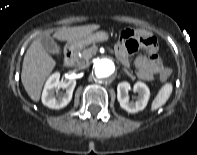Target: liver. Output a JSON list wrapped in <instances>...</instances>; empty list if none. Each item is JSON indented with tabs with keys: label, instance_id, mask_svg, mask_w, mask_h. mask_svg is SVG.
<instances>
[{
	"label": "liver",
	"instance_id": "1",
	"mask_svg": "<svg viewBox=\"0 0 197 155\" xmlns=\"http://www.w3.org/2000/svg\"><path fill=\"white\" fill-rule=\"evenodd\" d=\"M99 25H85L78 27L59 28L54 37L61 41L72 43L98 29ZM46 36L49 37L47 34ZM42 38V37H41ZM41 38L35 39L28 48L22 65L21 81L33 101H39L45 80L55 67V61L44 50Z\"/></svg>",
	"mask_w": 197,
	"mask_h": 155
}]
</instances>
